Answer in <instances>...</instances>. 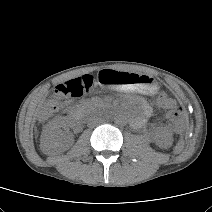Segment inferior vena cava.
I'll list each match as a JSON object with an SVG mask.
<instances>
[{"label": "inferior vena cava", "mask_w": 212, "mask_h": 212, "mask_svg": "<svg viewBox=\"0 0 212 212\" xmlns=\"http://www.w3.org/2000/svg\"><path fill=\"white\" fill-rule=\"evenodd\" d=\"M100 122H101V118H99V117H90L88 119V125L89 126H94V125H96V124H98Z\"/></svg>", "instance_id": "inferior-vena-cava-1"}]
</instances>
